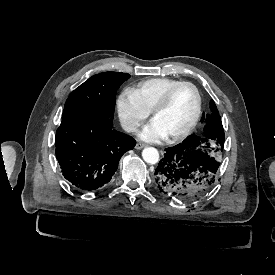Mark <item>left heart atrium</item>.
Listing matches in <instances>:
<instances>
[{"label": "left heart atrium", "instance_id": "obj_1", "mask_svg": "<svg viewBox=\"0 0 275 275\" xmlns=\"http://www.w3.org/2000/svg\"><path fill=\"white\" fill-rule=\"evenodd\" d=\"M140 137L147 141L162 140L167 137L165 132L153 121L140 133Z\"/></svg>", "mask_w": 275, "mask_h": 275}]
</instances>
